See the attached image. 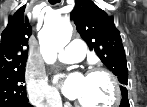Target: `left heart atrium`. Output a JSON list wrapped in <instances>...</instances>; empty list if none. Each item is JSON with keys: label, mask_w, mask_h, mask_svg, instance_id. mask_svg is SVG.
Returning a JSON list of instances; mask_svg holds the SVG:
<instances>
[{"label": "left heart atrium", "mask_w": 147, "mask_h": 107, "mask_svg": "<svg viewBox=\"0 0 147 107\" xmlns=\"http://www.w3.org/2000/svg\"><path fill=\"white\" fill-rule=\"evenodd\" d=\"M85 77L81 74H74L64 82L63 93L70 99H77L81 94Z\"/></svg>", "instance_id": "1"}]
</instances>
